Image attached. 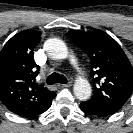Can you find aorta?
<instances>
[{"label": "aorta", "instance_id": "1", "mask_svg": "<svg viewBox=\"0 0 133 133\" xmlns=\"http://www.w3.org/2000/svg\"><path fill=\"white\" fill-rule=\"evenodd\" d=\"M44 49L53 59H65L68 56V49L66 44L58 39H48L44 44ZM74 95L81 101H86L91 96V86L84 78H78L74 84Z\"/></svg>", "mask_w": 133, "mask_h": 133}]
</instances>
